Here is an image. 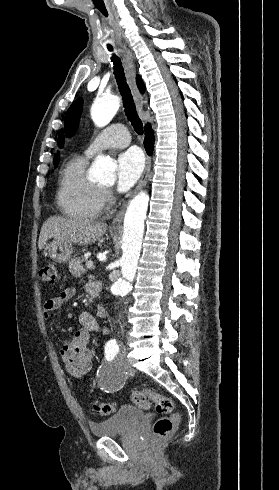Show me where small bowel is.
<instances>
[{
  "label": "small bowel",
  "mask_w": 279,
  "mask_h": 490,
  "mask_svg": "<svg viewBox=\"0 0 279 490\" xmlns=\"http://www.w3.org/2000/svg\"><path fill=\"white\" fill-rule=\"evenodd\" d=\"M87 291L90 294H95L98 292V287L89 285ZM75 295V289L67 288L57 296L48 299L44 304L46 318L51 312L59 309L63 304L73 299ZM98 316L100 318L106 317V309L103 305L99 306ZM78 323L80 329L69 342L63 343L60 349V355L66 371L71 376L82 378L92 367V354L89 349L91 334L95 331L108 334L109 330L107 328H101L96 319L86 311L78 314Z\"/></svg>",
  "instance_id": "c3829d8e"
}]
</instances>
